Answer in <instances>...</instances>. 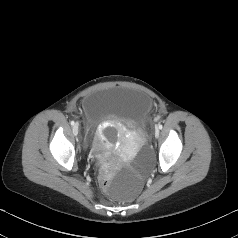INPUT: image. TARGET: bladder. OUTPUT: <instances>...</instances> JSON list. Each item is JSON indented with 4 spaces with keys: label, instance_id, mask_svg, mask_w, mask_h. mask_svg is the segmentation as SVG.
Returning <instances> with one entry per match:
<instances>
[{
    "label": "bladder",
    "instance_id": "31cf9c89",
    "mask_svg": "<svg viewBox=\"0 0 238 238\" xmlns=\"http://www.w3.org/2000/svg\"><path fill=\"white\" fill-rule=\"evenodd\" d=\"M151 99L138 91L127 88H109L89 96L84 103V124L93 120L99 125L103 121L118 120L140 128V117H150ZM91 138L93 135L88 134Z\"/></svg>",
    "mask_w": 238,
    "mask_h": 238
}]
</instances>
